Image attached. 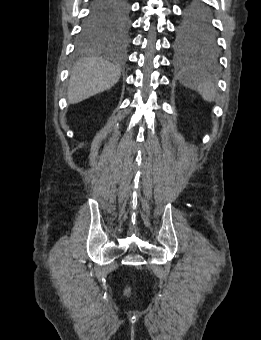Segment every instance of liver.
<instances>
[{
  "mask_svg": "<svg viewBox=\"0 0 261 340\" xmlns=\"http://www.w3.org/2000/svg\"><path fill=\"white\" fill-rule=\"evenodd\" d=\"M120 75V68L101 58L79 60L71 71L68 86L69 103H79L110 89L118 82Z\"/></svg>",
  "mask_w": 261,
  "mask_h": 340,
  "instance_id": "1",
  "label": "liver"
}]
</instances>
